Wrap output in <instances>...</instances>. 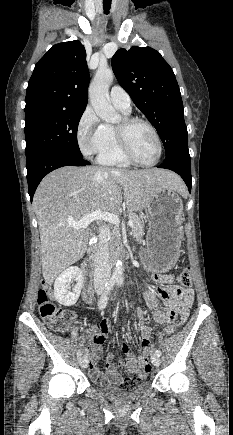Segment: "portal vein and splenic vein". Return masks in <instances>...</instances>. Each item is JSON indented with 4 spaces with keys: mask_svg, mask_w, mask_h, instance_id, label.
I'll return each instance as SVG.
<instances>
[{
    "mask_svg": "<svg viewBox=\"0 0 233 435\" xmlns=\"http://www.w3.org/2000/svg\"><path fill=\"white\" fill-rule=\"evenodd\" d=\"M94 220L108 221L112 224H115L116 226H119V224H120V219L117 215L109 213V212H102L101 210H96V211L86 215L78 222L69 221V225L75 229H86L91 224V222H93ZM127 224L129 227H132L134 224V221L129 220Z\"/></svg>",
    "mask_w": 233,
    "mask_h": 435,
    "instance_id": "1",
    "label": "portal vein and splenic vein"
}]
</instances>
